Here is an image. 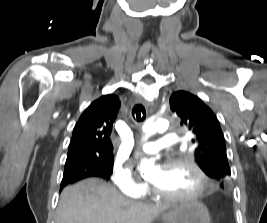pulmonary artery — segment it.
Here are the masks:
<instances>
[{
    "instance_id": "e3ab8cb5",
    "label": "pulmonary artery",
    "mask_w": 267,
    "mask_h": 223,
    "mask_svg": "<svg viewBox=\"0 0 267 223\" xmlns=\"http://www.w3.org/2000/svg\"><path fill=\"white\" fill-rule=\"evenodd\" d=\"M178 139L174 134H162L156 142L144 143L141 145V149L148 154H153L165 147L175 145Z\"/></svg>"
}]
</instances>
